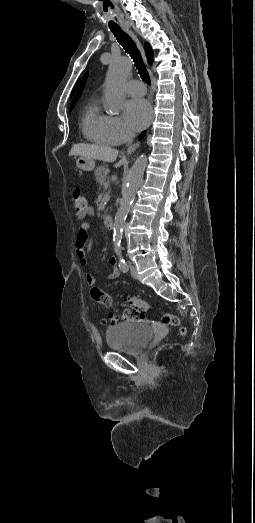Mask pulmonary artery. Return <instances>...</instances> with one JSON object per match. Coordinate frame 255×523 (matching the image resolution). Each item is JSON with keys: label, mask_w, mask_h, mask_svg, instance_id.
<instances>
[{"label": "pulmonary artery", "mask_w": 255, "mask_h": 523, "mask_svg": "<svg viewBox=\"0 0 255 523\" xmlns=\"http://www.w3.org/2000/svg\"><path fill=\"white\" fill-rule=\"evenodd\" d=\"M126 90L128 93H130L131 99L136 100L140 95H144L146 93V86L143 82L138 80H131L127 83Z\"/></svg>", "instance_id": "1"}]
</instances>
